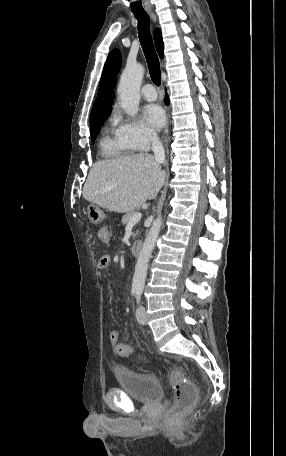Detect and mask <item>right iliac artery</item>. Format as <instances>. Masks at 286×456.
I'll return each mask as SVG.
<instances>
[{"mask_svg":"<svg viewBox=\"0 0 286 456\" xmlns=\"http://www.w3.org/2000/svg\"><path fill=\"white\" fill-rule=\"evenodd\" d=\"M137 293L136 291H133V294Z\"/></svg>","mask_w":286,"mask_h":456,"instance_id":"right-iliac-artery-1","label":"right iliac artery"}]
</instances>
